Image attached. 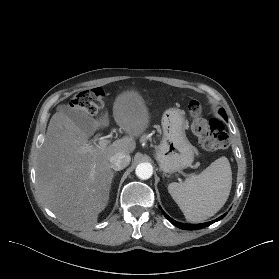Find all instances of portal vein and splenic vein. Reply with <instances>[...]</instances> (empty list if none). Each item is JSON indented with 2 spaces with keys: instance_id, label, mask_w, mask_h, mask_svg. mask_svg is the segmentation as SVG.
I'll use <instances>...</instances> for the list:
<instances>
[{
  "instance_id": "1",
  "label": "portal vein and splenic vein",
  "mask_w": 279,
  "mask_h": 279,
  "mask_svg": "<svg viewBox=\"0 0 279 279\" xmlns=\"http://www.w3.org/2000/svg\"><path fill=\"white\" fill-rule=\"evenodd\" d=\"M107 144H108V141H107V140L100 139L98 146H99V147H104V146H106ZM84 149H85L86 151H88V152H91L92 149H93V147H92V146H86V147H84Z\"/></svg>"
}]
</instances>
